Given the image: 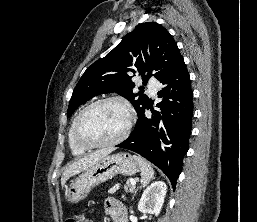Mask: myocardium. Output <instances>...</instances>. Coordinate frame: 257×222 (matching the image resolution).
Instances as JSON below:
<instances>
[{
  "label": "myocardium",
  "instance_id": "1",
  "mask_svg": "<svg viewBox=\"0 0 257 222\" xmlns=\"http://www.w3.org/2000/svg\"><path fill=\"white\" fill-rule=\"evenodd\" d=\"M110 102L118 103V104L122 105L124 107V109L126 110L127 121H126V126H125L124 130L116 138H114L110 141L95 143V142H90V141L85 140L80 135V125H81L83 119L93 108H95L99 105L105 104V103H110ZM132 125H133V110H132L131 104L122 97L108 96V97H104L97 101L92 102L91 104H89L87 107H85L79 113V115L77 116V118L75 120L74 126H73V138L77 145H79L80 147L85 148V149L111 147V146L118 145L119 143H121L128 137V135L131 131Z\"/></svg>",
  "mask_w": 257,
  "mask_h": 222
}]
</instances>
